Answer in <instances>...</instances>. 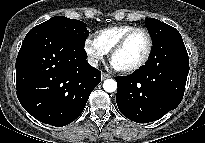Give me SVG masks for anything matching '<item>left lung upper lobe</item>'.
Listing matches in <instances>:
<instances>
[{
    "instance_id": "1",
    "label": "left lung upper lobe",
    "mask_w": 205,
    "mask_h": 143,
    "mask_svg": "<svg viewBox=\"0 0 205 143\" xmlns=\"http://www.w3.org/2000/svg\"><path fill=\"white\" fill-rule=\"evenodd\" d=\"M145 23L152 38L153 46L158 44L163 38H165L169 34L178 32L174 27L154 18H146ZM150 60L151 58L148 60L145 66H148Z\"/></svg>"
}]
</instances>
